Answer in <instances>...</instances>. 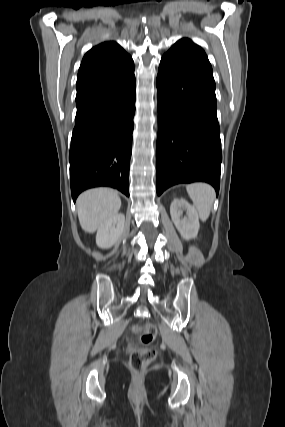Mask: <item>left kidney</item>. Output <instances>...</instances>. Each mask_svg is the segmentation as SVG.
<instances>
[{"mask_svg": "<svg viewBox=\"0 0 285 427\" xmlns=\"http://www.w3.org/2000/svg\"><path fill=\"white\" fill-rule=\"evenodd\" d=\"M183 211L187 214L185 218H181ZM170 214L183 239L190 240L197 237L200 228L198 213L186 200L174 199L170 206Z\"/></svg>", "mask_w": 285, "mask_h": 427, "instance_id": "left-kidney-1", "label": "left kidney"}]
</instances>
